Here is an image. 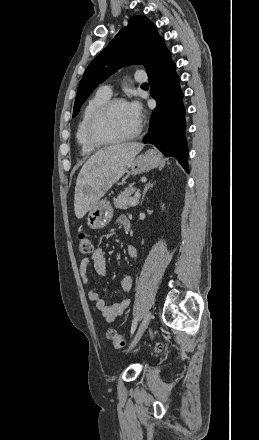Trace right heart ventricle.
I'll return each instance as SVG.
<instances>
[{
	"label": "right heart ventricle",
	"mask_w": 259,
	"mask_h": 440,
	"mask_svg": "<svg viewBox=\"0 0 259 440\" xmlns=\"http://www.w3.org/2000/svg\"><path fill=\"white\" fill-rule=\"evenodd\" d=\"M110 98V95L98 91L93 97H91L82 111L79 123L76 129V141L84 154H90L96 151L100 146L91 144L86 137V125L92 113L104 102Z\"/></svg>",
	"instance_id": "obj_1"
}]
</instances>
